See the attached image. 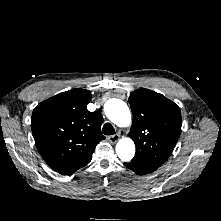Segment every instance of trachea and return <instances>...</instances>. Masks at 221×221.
Masks as SVG:
<instances>
[{"label":"trachea","instance_id":"3493384b","mask_svg":"<svg viewBox=\"0 0 221 221\" xmlns=\"http://www.w3.org/2000/svg\"><path fill=\"white\" fill-rule=\"evenodd\" d=\"M103 134L105 135H114L115 129L110 123H105L103 126Z\"/></svg>","mask_w":221,"mask_h":221}]
</instances>
